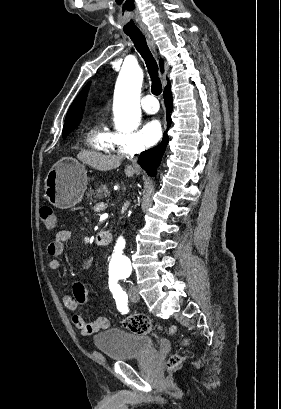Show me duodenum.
I'll return each instance as SVG.
<instances>
[{
    "label": "duodenum",
    "instance_id": "obj_1",
    "mask_svg": "<svg viewBox=\"0 0 281 409\" xmlns=\"http://www.w3.org/2000/svg\"><path fill=\"white\" fill-rule=\"evenodd\" d=\"M111 234L108 232H101L96 235V243L99 246H105L110 243Z\"/></svg>",
    "mask_w": 281,
    "mask_h": 409
}]
</instances>
